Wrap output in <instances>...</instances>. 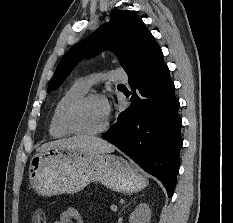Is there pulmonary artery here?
<instances>
[{"instance_id":"1","label":"pulmonary artery","mask_w":233,"mask_h":223,"mask_svg":"<svg viewBox=\"0 0 233 223\" xmlns=\"http://www.w3.org/2000/svg\"><path fill=\"white\" fill-rule=\"evenodd\" d=\"M112 75V77L110 76ZM127 79L126 70H108L107 73H93L79 79L80 84L89 89L92 85L98 83L101 79ZM125 81V80H124Z\"/></svg>"}]
</instances>
